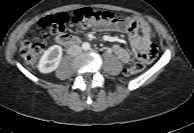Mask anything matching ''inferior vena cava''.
I'll return each instance as SVG.
<instances>
[{"label": "inferior vena cava", "mask_w": 194, "mask_h": 133, "mask_svg": "<svg viewBox=\"0 0 194 133\" xmlns=\"http://www.w3.org/2000/svg\"><path fill=\"white\" fill-rule=\"evenodd\" d=\"M82 51V48L79 45H72L68 49V54L72 57L77 56Z\"/></svg>", "instance_id": "1"}]
</instances>
